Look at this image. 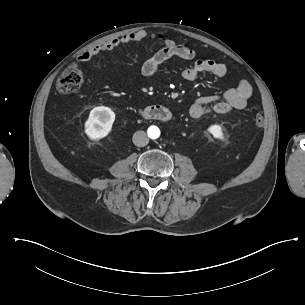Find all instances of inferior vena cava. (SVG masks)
I'll return each mask as SVG.
<instances>
[{
	"label": "inferior vena cava",
	"mask_w": 305,
	"mask_h": 305,
	"mask_svg": "<svg viewBox=\"0 0 305 305\" xmlns=\"http://www.w3.org/2000/svg\"><path fill=\"white\" fill-rule=\"evenodd\" d=\"M132 140L134 145L138 147H144L149 143V138L147 134L142 130L136 131L133 135Z\"/></svg>",
	"instance_id": "602c4592"
}]
</instances>
